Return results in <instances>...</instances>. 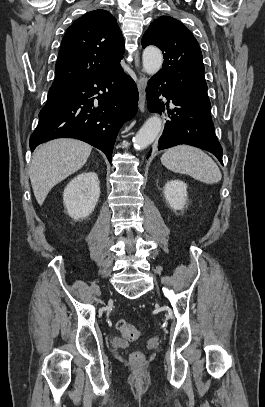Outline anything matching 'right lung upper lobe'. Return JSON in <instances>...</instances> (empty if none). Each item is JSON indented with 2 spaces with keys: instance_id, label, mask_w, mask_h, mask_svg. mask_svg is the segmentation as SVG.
I'll return each mask as SVG.
<instances>
[{
  "instance_id": "cb5924a9",
  "label": "right lung upper lobe",
  "mask_w": 265,
  "mask_h": 407,
  "mask_svg": "<svg viewBox=\"0 0 265 407\" xmlns=\"http://www.w3.org/2000/svg\"><path fill=\"white\" fill-rule=\"evenodd\" d=\"M124 39L115 17L95 10L78 18L62 39L52 86H73L120 66Z\"/></svg>"
}]
</instances>
